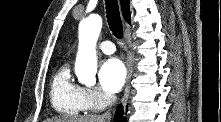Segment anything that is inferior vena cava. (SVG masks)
I'll list each match as a JSON object with an SVG mask.
<instances>
[{
  "mask_svg": "<svg viewBox=\"0 0 221 122\" xmlns=\"http://www.w3.org/2000/svg\"><path fill=\"white\" fill-rule=\"evenodd\" d=\"M110 102H112V103L116 102V97H115L114 95L110 96ZM109 111H110V110H109ZM109 111L105 112V113L102 114L101 116H102L103 118H106V119L109 118V117L111 116V114H110Z\"/></svg>",
  "mask_w": 221,
  "mask_h": 122,
  "instance_id": "inferior-vena-cava-1",
  "label": "inferior vena cava"
}]
</instances>
